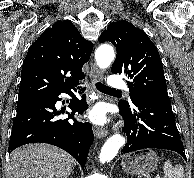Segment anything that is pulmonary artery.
Returning a JSON list of instances; mask_svg holds the SVG:
<instances>
[{
	"mask_svg": "<svg viewBox=\"0 0 194 178\" xmlns=\"http://www.w3.org/2000/svg\"><path fill=\"white\" fill-rule=\"evenodd\" d=\"M108 84L113 89H120L126 86L125 81L122 78H120L118 75H111L108 80Z\"/></svg>",
	"mask_w": 194,
	"mask_h": 178,
	"instance_id": "1",
	"label": "pulmonary artery"
}]
</instances>
